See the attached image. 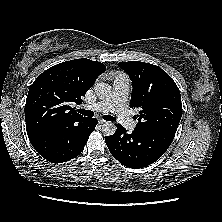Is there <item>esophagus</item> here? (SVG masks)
Instances as JSON below:
<instances>
[{
    "label": "esophagus",
    "mask_w": 222,
    "mask_h": 222,
    "mask_svg": "<svg viewBox=\"0 0 222 222\" xmlns=\"http://www.w3.org/2000/svg\"><path fill=\"white\" fill-rule=\"evenodd\" d=\"M98 123H99V124H101V125H103V124H105V123H106V121H105V120H103V119H99V120H98Z\"/></svg>",
    "instance_id": "obj_1"
}]
</instances>
